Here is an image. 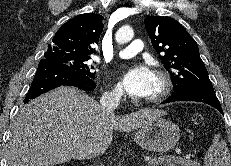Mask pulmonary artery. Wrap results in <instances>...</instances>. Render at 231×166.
Returning <instances> with one entry per match:
<instances>
[{
    "mask_svg": "<svg viewBox=\"0 0 231 166\" xmlns=\"http://www.w3.org/2000/svg\"><path fill=\"white\" fill-rule=\"evenodd\" d=\"M143 48V41L140 39H135L126 48L120 50L118 52V56L123 59L131 58L141 52Z\"/></svg>",
    "mask_w": 231,
    "mask_h": 166,
    "instance_id": "e3ab8cb5",
    "label": "pulmonary artery"
}]
</instances>
